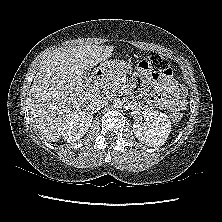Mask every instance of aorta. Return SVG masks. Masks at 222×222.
<instances>
[{
    "label": "aorta",
    "instance_id": "762f6f07",
    "mask_svg": "<svg viewBox=\"0 0 222 222\" xmlns=\"http://www.w3.org/2000/svg\"><path fill=\"white\" fill-rule=\"evenodd\" d=\"M123 103H124V102H123L122 99H120V98H115V99L113 100V107L116 108V109L122 108Z\"/></svg>",
    "mask_w": 222,
    "mask_h": 222
}]
</instances>
